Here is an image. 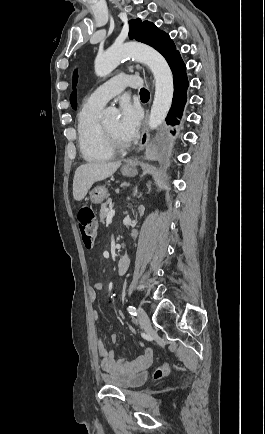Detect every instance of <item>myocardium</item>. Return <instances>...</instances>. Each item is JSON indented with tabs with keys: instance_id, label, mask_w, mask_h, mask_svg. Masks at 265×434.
Listing matches in <instances>:
<instances>
[{
	"instance_id": "obj_1",
	"label": "myocardium",
	"mask_w": 265,
	"mask_h": 434,
	"mask_svg": "<svg viewBox=\"0 0 265 434\" xmlns=\"http://www.w3.org/2000/svg\"><path fill=\"white\" fill-rule=\"evenodd\" d=\"M104 129L106 132V135L108 137L110 146L113 150L117 151H125L129 148V145L126 143L120 142L117 137L111 132V130L104 124Z\"/></svg>"
}]
</instances>
